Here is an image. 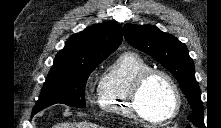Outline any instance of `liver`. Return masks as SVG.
<instances>
[{
	"label": "liver",
	"instance_id": "obj_1",
	"mask_svg": "<svg viewBox=\"0 0 221 128\" xmlns=\"http://www.w3.org/2000/svg\"><path fill=\"white\" fill-rule=\"evenodd\" d=\"M53 128H100L96 124L88 123V122H75V123H61L56 124Z\"/></svg>",
	"mask_w": 221,
	"mask_h": 128
}]
</instances>
